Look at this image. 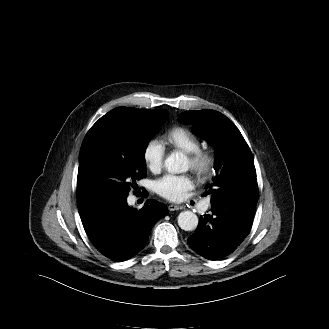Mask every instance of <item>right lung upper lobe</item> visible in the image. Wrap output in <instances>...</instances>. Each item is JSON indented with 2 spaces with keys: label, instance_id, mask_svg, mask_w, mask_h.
Returning <instances> with one entry per match:
<instances>
[{
  "label": "right lung upper lobe",
  "instance_id": "1",
  "mask_svg": "<svg viewBox=\"0 0 329 329\" xmlns=\"http://www.w3.org/2000/svg\"><path fill=\"white\" fill-rule=\"evenodd\" d=\"M134 109L136 111H138L139 113H141L143 116H149L155 111V110H140V109H137V108H134ZM91 133H92V129H90L88 131V133L86 134L83 143L90 137Z\"/></svg>",
  "mask_w": 329,
  "mask_h": 329
}]
</instances>
